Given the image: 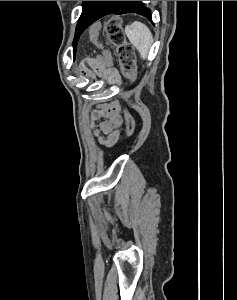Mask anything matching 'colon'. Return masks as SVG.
Instances as JSON below:
<instances>
[{
    "label": "colon",
    "instance_id": "colon-1",
    "mask_svg": "<svg viewBox=\"0 0 237 300\" xmlns=\"http://www.w3.org/2000/svg\"><path fill=\"white\" fill-rule=\"evenodd\" d=\"M100 29L99 23H94L90 28V37L96 43ZM104 29L109 42L114 47L122 75L128 83H131L135 73V53L132 45L125 38L121 19L118 16H110L105 22ZM91 61L100 67H107L111 64V57L107 52H104ZM123 114L126 123V136L130 137L134 132L135 121L126 107L123 108Z\"/></svg>",
    "mask_w": 237,
    "mask_h": 300
}]
</instances>
